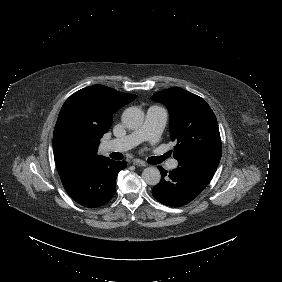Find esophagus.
<instances>
[{"label":"esophagus","instance_id":"esophagus-1","mask_svg":"<svg viewBox=\"0 0 282 282\" xmlns=\"http://www.w3.org/2000/svg\"><path fill=\"white\" fill-rule=\"evenodd\" d=\"M132 163L136 166H139V167H145L146 166L145 162L140 160V159H133Z\"/></svg>","mask_w":282,"mask_h":282}]
</instances>
